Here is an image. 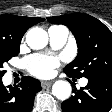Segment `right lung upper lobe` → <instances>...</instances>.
Returning a JSON list of instances; mask_svg holds the SVG:
<instances>
[{
	"label": "right lung upper lobe",
	"instance_id": "right-lung-upper-lobe-1",
	"mask_svg": "<svg viewBox=\"0 0 112 112\" xmlns=\"http://www.w3.org/2000/svg\"><path fill=\"white\" fill-rule=\"evenodd\" d=\"M44 21L40 17H21L11 14L0 15V41H21L24 33L31 26Z\"/></svg>",
	"mask_w": 112,
	"mask_h": 112
}]
</instances>
